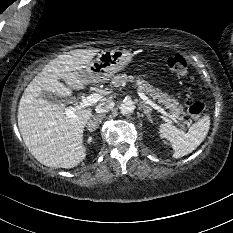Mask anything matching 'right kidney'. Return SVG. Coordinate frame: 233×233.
<instances>
[{
    "label": "right kidney",
    "instance_id": "obj_1",
    "mask_svg": "<svg viewBox=\"0 0 233 233\" xmlns=\"http://www.w3.org/2000/svg\"><path fill=\"white\" fill-rule=\"evenodd\" d=\"M87 142H88V143L93 142V138H92V137H89Z\"/></svg>",
    "mask_w": 233,
    "mask_h": 233
}]
</instances>
